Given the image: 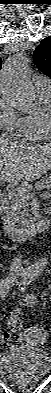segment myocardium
I'll return each instance as SVG.
<instances>
[{"label":"myocardium","mask_w":51,"mask_h":393,"mask_svg":"<svg viewBox=\"0 0 51 393\" xmlns=\"http://www.w3.org/2000/svg\"><path fill=\"white\" fill-rule=\"evenodd\" d=\"M40 116L44 129L49 133L51 131V101L41 108Z\"/></svg>","instance_id":"myocardium-1"}]
</instances>
